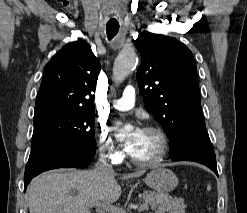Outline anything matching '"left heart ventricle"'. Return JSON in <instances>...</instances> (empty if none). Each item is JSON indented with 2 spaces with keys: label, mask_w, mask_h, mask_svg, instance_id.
Returning a JSON list of instances; mask_svg holds the SVG:
<instances>
[{
  "label": "left heart ventricle",
  "mask_w": 247,
  "mask_h": 213,
  "mask_svg": "<svg viewBox=\"0 0 247 213\" xmlns=\"http://www.w3.org/2000/svg\"><path fill=\"white\" fill-rule=\"evenodd\" d=\"M160 147V141L156 134L143 131L142 136L132 152V156L140 160H149L156 156Z\"/></svg>",
  "instance_id": "b2bd125f"
}]
</instances>
